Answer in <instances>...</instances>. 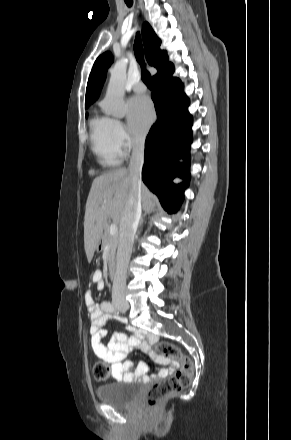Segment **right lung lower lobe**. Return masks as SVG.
Listing matches in <instances>:
<instances>
[{
    "instance_id": "1",
    "label": "right lung lower lobe",
    "mask_w": 291,
    "mask_h": 440,
    "mask_svg": "<svg viewBox=\"0 0 291 440\" xmlns=\"http://www.w3.org/2000/svg\"><path fill=\"white\" fill-rule=\"evenodd\" d=\"M174 69L153 78L152 99L157 121L145 141L143 182L158 196L168 212H176L189 181V149L192 141V117L186 109L188 97L182 82L172 77ZM184 158L180 164L178 159ZM176 176L184 182L175 185ZM172 199H176L173 205Z\"/></svg>"
}]
</instances>
